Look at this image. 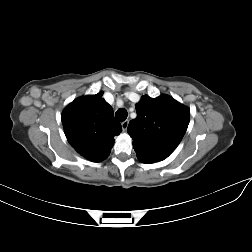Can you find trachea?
Returning <instances> with one entry per match:
<instances>
[{"instance_id": "obj_1", "label": "trachea", "mask_w": 252, "mask_h": 252, "mask_svg": "<svg viewBox=\"0 0 252 252\" xmlns=\"http://www.w3.org/2000/svg\"><path fill=\"white\" fill-rule=\"evenodd\" d=\"M127 116H128V113H127L126 109H124V108L117 110L115 113L116 119L120 122L125 121Z\"/></svg>"}]
</instances>
